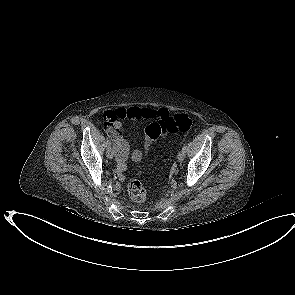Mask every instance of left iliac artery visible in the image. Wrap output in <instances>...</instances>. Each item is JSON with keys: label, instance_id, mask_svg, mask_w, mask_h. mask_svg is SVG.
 Segmentation results:
<instances>
[{"label": "left iliac artery", "instance_id": "left-iliac-artery-1", "mask_svg": "<svg viewBox=\"0 0 295 295\" xmlns=\"http://www.w3.org/2000/svg\"><path fill=\"white\" fill-rule=\"evenodd\" d=\"M182 149L186 152V150H187V144L186 143L184 144Z\"/></svg>", "mask_w": 295, "mask_h": 295}]
</instances>
